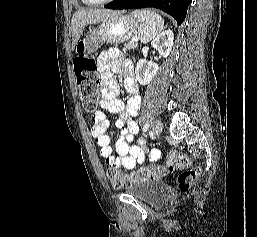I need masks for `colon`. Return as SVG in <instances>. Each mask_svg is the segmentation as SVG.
I'll use <instances>...</instances> for the list:
<instances>
[{
	"mask_svg": "<svg viewBox=\"0 0 257 237\" xmlns=\"http://www.w3.org/2000/svg\"><path fill=\"white\" fill-rule=\"evenodd\" d=\"M87 44L81 41L77 45L76 55L73 59L74 73L84 109L88 112H94L98 106L99 100V74L95 60L86 55ZM169 168H185L178 176V186L182 192H187L192 187L200 170L197 167H191V161L186 154L171 153L168 158ZM166 173L164 167L140 168L131 173L110 168L107 170V177L114 188L128 187L132 183L145 180H158Z\"/></svg>",
	"mask_w": 257,
	"mask_h": 237,
	"instance_id": "obj_1",
	"label": "colon"
}]
</instances>
